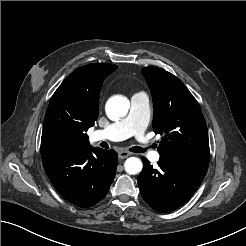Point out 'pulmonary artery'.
Wrapping results in <instances>:
<instances>
[{"instance_id":"e3ab8cb5","label":"pulmonary artery","mask_w":246,"mask_h":246,"mask_svg":"<svg viewBox=\"0 0 246 246\" xmlns=\"http://www.w3.org/2000/svg\"><path fill=\"white\" fill-rule=\"evenodd\" d=\"M151 106L149 97L144 92L135 93L131 97L130 111L128 115L103 130H97L92 134V140L122 141L129 137H136L141 147L145 150L147 157L157 162L160 155L157 151L148 148V140L144 133L150 122Z\"/></svg>"}]
</instances>
